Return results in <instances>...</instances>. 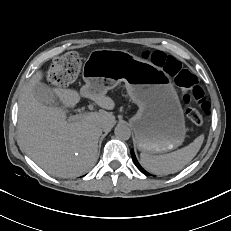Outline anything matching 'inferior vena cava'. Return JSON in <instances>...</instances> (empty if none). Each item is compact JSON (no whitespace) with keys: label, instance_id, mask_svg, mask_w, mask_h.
Masks as SVG:
<instances>
[{"label":"inferior vena cava","instance_id":"602c4592","mask_svg":"<svg viewBox=\"0 0 231 231\" xmlns=\"http://www.w3.org/2000/svg\"><path fill=\"white\" fill-rule=\"evenodd\" d=\"M99 129H104V124H99Z\"/></svg>","mask_w":231,"mask_h":231}]
</instances>
